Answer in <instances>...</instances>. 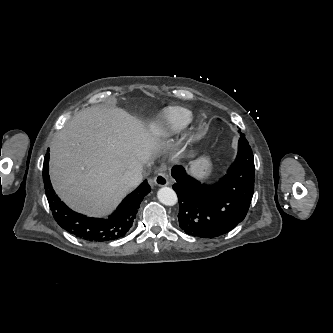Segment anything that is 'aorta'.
Instances as JSON below:
<instances>
[{"label":"aorta","instance_id":"aorta-1","mask_svg":"<svg viewBox=\"0 0 333 333\" xmlns=\"http://www.w3.org/2000/svg\"><path fill=\"white\" fill-rule=\"evenodd\" d=\"M157 197L158 200L166 206H173L178 201L175 191L169 187L160 188Z\"/></svg>","mask_w":333,"mask_h":333}]
</instances>
